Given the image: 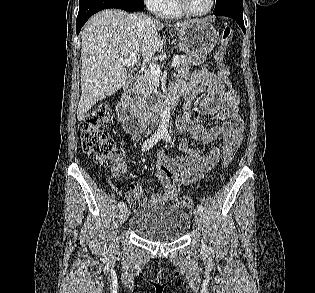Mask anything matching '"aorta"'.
Returning a JSON list of instances; mask_svg holds the SVG:
<instances>
[{
	"instance_id": "obj_1",
	"label": "aorta",
	"mask_w": 315,
	"mask_h": 293,
	"mask_svg": "<svg viewBox=\"0 0 315 293\" xmlns=\"http://www.w3.org/2000/svg\"><path fill=\"white\" fill-rule=\"evenodd\" d=\"M170 120V107H165L162 112L158 129L162 132H167Z\"/></svg>"
}]
</instances>
